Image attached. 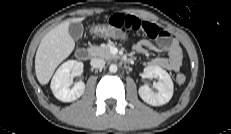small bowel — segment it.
<instances>
[{"mask_svg":"<svg viewBox=\"0 0 231 134\" xmlns=\"http://www.w3.org/2000/svg\"><path fill=\"white\" fill-rule=\"evenodd\" d=\"M108 25L130 32H142L148 39H143L134 45V49L140 53L167 54V57H157L147 63L150 67H157L177 72L183 62V54L177 40L162 30L156 24L142 20L133 15L115 13L109 18Z\"/></svg>","mask_w":231,"mask_h":134,"instance_id":"small-bowel-1","label":"small bowel"}]
</instances>
